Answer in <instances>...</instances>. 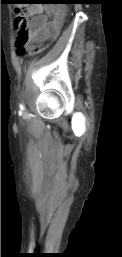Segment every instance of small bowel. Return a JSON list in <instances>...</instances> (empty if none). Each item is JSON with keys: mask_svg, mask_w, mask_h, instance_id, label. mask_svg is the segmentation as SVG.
I'll use <instances>...</instances> for the list:
<instances>
[{"mask_svg": "<svg viewBox=\"0 0 122 257\" xmlns=\"http://www.w3.org/2000/svg\"><path fill=\"white\" fill-rule=\"evenodd\" d=\"M42 7H30L27 13L32 15V19L28 23L26 47L31 50L35 44L53 40L52 34L55 30L62 28L63 21L66 16L64 7H48L43 13ZM58 36V35H57Z\"/></svg>", "mask_w": 122, "mask_h": 257, "instance_id": "obj_1", "label": "small bowel"}]
</instances>
